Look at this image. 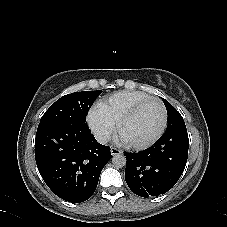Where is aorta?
I'll list each match as a JSON object with an SVG mask.
<instances>
[{
	"label": "aorta",
	"instance_id": "1",
	"mask_svg": "<svg viewBox=\"0 0 227 227\" xmlns=\"http://www.w3.org/2000/svg\"><path fill=\"white\" fill-rule=\"evenodd\" d=\"M112 164L115 168H123L126 165V157L123 154H115L112 158Z\"/></svg>",
	"mask_w": 227,
	"mask_h": 227
}]
</instances>
